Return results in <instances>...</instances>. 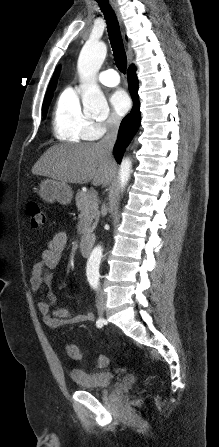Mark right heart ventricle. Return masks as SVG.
<instances>
[{
    "label": "right heart ventricle",
    "instance_id": "right-heart-ventricle-1",
    "mask_svg": "<svg viewBox=\"0 0 219 447\" xmlns=\"http://www.w3.org/2000/svg\"><path fill=\"white\" fill-rule=\"evenodd\" d=\"M55 137L67 143H81L98 138L96 123L82 111L78 94L66 88L59 95L53 110Z\"/></svg>",
    "mask_w": 219,
    "mask_h": 447
}]
</instances>
